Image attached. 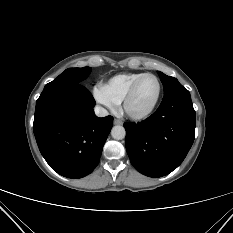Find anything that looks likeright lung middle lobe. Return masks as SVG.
<instances>
[{
    "label": "right lung middle lobe",
    "mask_w": 233,
    "mask_h": 233,
    "mask_svg": "<svg viewBox=\"0 0 233 233\" xmlns=\"http://www.w3.org/2000/svg\"><path fill=\"white\" fill-rule=\"evenodd\" d=\"M91 72L90 67L69 68L55 78L52 82L46 84L45 87L65 85L69 83H80L85 80Z\"/></svg>",
    "instance_id": "obj_1"
}]
</instances>
